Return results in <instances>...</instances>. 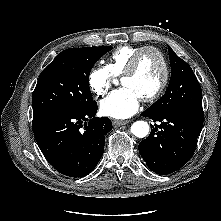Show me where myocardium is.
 <instances>
[{"label":"myocardium","instance_id":"obj_1","mask_svg":"<svg viewBox=\"0 0 221 221\" xmlns=\"http://www.w3.org/2000/svg\"><path fill=\"white\" fill-rule=\"evenodd\" d=\"M146 52H155L156 54H158V56L161 59L162 66H163V76H162V79H161L158 87L155 89L154 92H152L151 94L142 98L143 102H151V101L157 99L163 93V91L165 90V88L167 86V83L169 80V74H170L167 58H166L165 54L159 48H157L155 46H146V47H143L140 50H138L134 54V56L132 57L126 70L123 72L121 79H123L124 77H127V76H131L136 72L139 61H140L142 55Z\"/></svg>","mask_w":221,"mask_h":221}]
</instances>
